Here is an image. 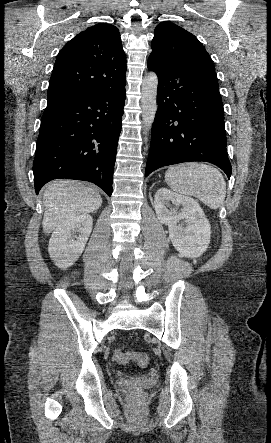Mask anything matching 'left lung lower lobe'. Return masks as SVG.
<instances>
[{
    "instance_id": "obj_1",
    "label": "left lung lower lobe",
    "mask_w": 271,
    "mask_h": 443,
    "mask_svg": "<svg viewBox=\"0 0 271 443\" xmlns=\"http://www.w3.org/2000/svg\"><path fill=\"white\" fill-rule=\"evenodd\" d=\"M147 66L156 72L159 84L145 176L163 166L205 161L217 165L230 178L223 103L215 70L152 53Z\"/></svg>"
}]
</instances>
